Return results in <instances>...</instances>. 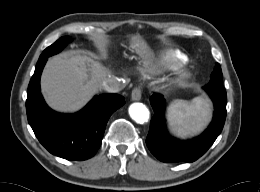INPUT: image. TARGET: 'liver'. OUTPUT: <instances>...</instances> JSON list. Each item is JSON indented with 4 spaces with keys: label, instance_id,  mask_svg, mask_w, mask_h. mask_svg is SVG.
Masks as SVG:
<instances>
[{
    "label": "liver",
    "instance_id": "obj_1",
    "mask_svg": "<svg viewBox=\"0 0 260 192\" xmlns=\"http://www.w3.org/2000/svg\"><path fill=\"white\" fill-rule=\"evenodd\" d=\"M132 47L143 53L138 40H134ZM106 77L105 67L90 56L57 55L46 63L41 76V90L51 108L73 112L99 92Z\"/></svg>",
    "mask_w": 260,
    "mask_h": 192
}]
</instances>
